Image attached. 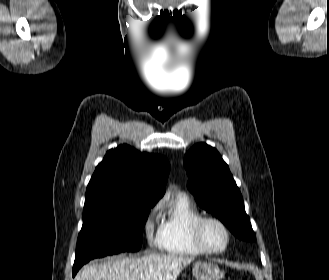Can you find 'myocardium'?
Instances as JSON below:
<instances>
[{"label": "myocardium", "mask_w": 329, "mask_h": 280, "mask_svg": "<svg viewBox=\"0 0 329 280\" xmlns=\"http://www.w3.org/2000/svg\"><path fill=\"white\" fill-rule=\"evenodd\" d=\"M215 223L222 228L226 235L225 245L220 249H211L209 248L203 240V229L206 224ZM192 239L195 246L204 254L208 255H219L224 253L230 246L231 243V231L228 226L220 218L215 216H202L195 221L192 226Z\"/></svg>", "instance_id": "f54148a6"}]
</instances>
